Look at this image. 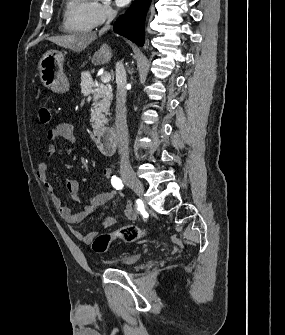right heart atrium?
Segmentation results:
<instances>
[{"label": "right heart atrium", "instance_id": "obj_1", "mask_svg": "<svg viewBox=\"0 0 285 335\" xmlns=\"http://www.w3.org/2000/svg\"><path fill=\"white\" fill-rule=\"evenodd\" d=\"M116 15L117 10L111 1H94L90 6V19L94 26L112 21Z\"/></svg>", "mask_w": 285, "mask_h": 335}]
</instances>
